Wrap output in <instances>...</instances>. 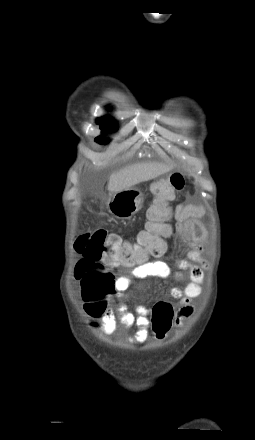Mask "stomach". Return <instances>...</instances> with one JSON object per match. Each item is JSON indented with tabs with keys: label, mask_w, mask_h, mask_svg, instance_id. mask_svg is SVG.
I'll return each mask as SVG.
<instances>
[{
	"label": "stomach",
	"mask_w": 255,
	"mask_h": 440,
	"mask_svg": "<svg viewBox=\"0 0 255 440\" xmlns=\"http://www.w3.org/2000/svg\"><path fill=\"white\" fill-rule=\"evenodd\" d=\"M144 198L140 190L129 188L114 193L108 198L107 209L115 218L131 219L143 207Z\"/></svg>",
	"instance_id": "1"
}]
</instances>
